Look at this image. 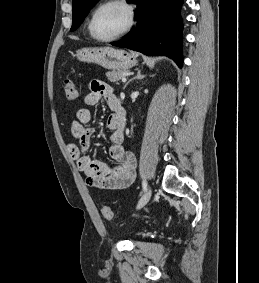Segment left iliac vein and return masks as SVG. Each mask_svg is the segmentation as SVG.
<instances>
[{
	"mask_svg": "<svg viewBox=\"0 0 259 283\" xmlns=\"http://www.w3.org/2000/svg\"><path fill=\"white\" fill-rule=\"evenodd\" d=\"M151 195H152V190L150 187H148L146 189V191L144 192L143 196L141 197L138 205H137V209H141L142 207H144L148 201L150 200L151 198Z\"/></svg>",
	"mask_w": 259,
	"mask_h": 283,
	"instance_id": "left-iliac-vein-1",
	"label": "left iliac vein"
}]
</instances>
